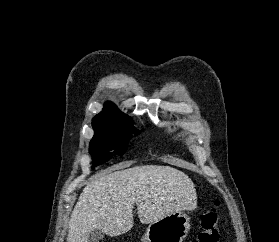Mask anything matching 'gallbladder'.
Listing matches in <instances>:
<instances>
[{"instance_id":"bac80fb5","label":"gallbladder","mask_w":279,"mask_h":242,"mask_svg":"<svg viewBox=\"0 0 279 242\" xmlns=\"http://www.w3.org/2000/svg\"><path fill=\"white\" fill-rule=\"evenodd\" d=\"M103 237L104 233L99 229H95L90 232L88 236V242H99L101 239H103Z\"/></svg>"}]
</instances>
